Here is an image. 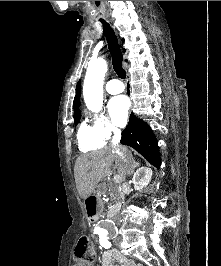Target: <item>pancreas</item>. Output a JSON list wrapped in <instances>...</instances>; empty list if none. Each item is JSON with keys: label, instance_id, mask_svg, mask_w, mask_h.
Here are the masks:
<instances>
[{"label": "pancreas", "instance_id": "1", "mask_svg": "<svg viewBox=\"0 0 221 266\" xmlns=\"http://www.w3.org/2000/svg\"><path fill=\"white\" fill-rule=\"evenodd\" d=\"M109 194L111 197V201L114 203V205L111 206L110 204V211L113 212L117 210L120 207L121 201L123 199V195L118 192L117 189L110 187L109 188Z\"/></svg>", "mask_w": 221, "mask_h": 266}]
</instances>
